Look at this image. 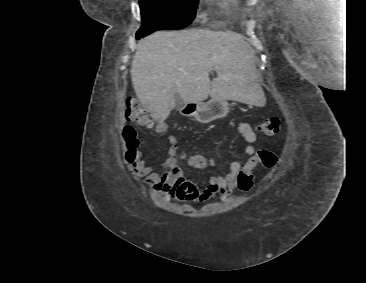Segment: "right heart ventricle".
I'll return each instance as SVG.
<instances>
[{
    "label": "right heart ventricle",
    "instance_id": "1",
    "mask_svg": "<svg viewBox=\"0 0 366 283\" xmlns=\"http://www.w3.org/2000/svg\"><path fill=\"white\" fill-rule=\"evenodd\" d=\"M231 3H232V0H221V1H219L220 6H222L223 8L230 7Z\"/></svg>",
    "mask_w": 366,
    "mask_h": 283
}]
</instances>
